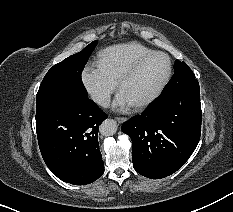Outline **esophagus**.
I'll return each instance as SVG.
<instances>
[{
  "instance_id": "esophagus-1",
  "label": "esophagus",
  "mask_w": 233,
  "mask_h": 212,
  "mask_svg": "<svg viewBox=\"0 0 233 212\" xmlns=\"http://www.w3.org/2000/svg\"><path fill=\"white\" fill-rule=\"evenodd\" d=\"M116 119H117V121H118L119 123H124V122L127 121V118H126V117H117Z\"/></svg>"
}]
</instances>
